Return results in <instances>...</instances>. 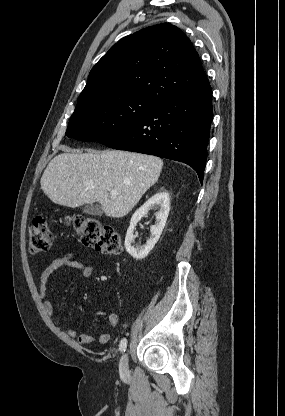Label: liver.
<instances>
[{
    "label": "liver",
    "mask_w": 285,
    "mask_h": 416,
    "mask_svg": "<svg viewBox=\"0 0 285 416\" xmlns=\"http://www.w3.org/2000/svg\"><path fill=\"white\" fill-rule=\"evenodd\" d=\"M49 162L41 180V190L54 204L79 208L99 202L105 216L123 218L143 194L156 184L163 162L156 156L120 150H71ZM117 190L111 198L108 192Z\"/></svg>",
    "instance_id": "1"
}]
</instances>
